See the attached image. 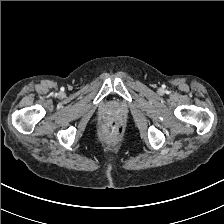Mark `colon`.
I'll return each mask as SVG.
<instances>
[{"instance_id": "colon-1", "label": "colon", "mask_w": 224, "mask_h": 224, "mask_svg": "<svg viewBox=\"0 0 224 224\" xmlns=\"http://www.w3.org/2000/svg\"><path fill=\"white\" fill-rule=\"evenodd\" d=\"M124 132L123 126L117 121H111L107 124L103 131L106 139L112 140L119 138Z\"/></svg>"}]
</instances>
